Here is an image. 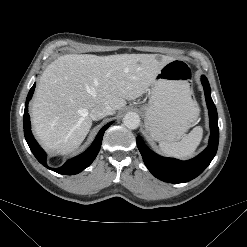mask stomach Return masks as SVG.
<instances>
[{"mask_svg":"<svg viewBox=\"0 0 247 247\" xmlns=\"http://www.w3.org/2000/svg\"><path fill=\"white\" fill-rule=\"evenodd\" d=\"M190 75L189 66L175 59L162 67L151 84L149 102L141 110L145 128L153 139L178 141L194 125L199 110L188 98Z\"/></svg>","mask_w":247,"mask_h":247,"instance_id":"0dacf381","label":"stomach"}]
</instances>
